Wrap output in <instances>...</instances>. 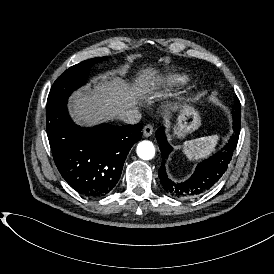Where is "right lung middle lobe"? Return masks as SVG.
Instances as JSON below:
<instances>
[{"instance_id": "right-lung-middle-lobe-1", "label": "right lung middle lobe", "mask_w": 274, "mask_h": 274, "mask_svg": "<svg viewBox=\"0 0 274 274\" xmlns=\"http://www.w3.org/2000/svg\"><path fill=\"white\" fill-rule=\"evenodd\" d=\"M107 57L92 58L70 67L54 82L48 99L47 109L54 104L65 101L71 93L87 81L90 68L98 62L106 60Z\"/></svg>"}]
</instances>
